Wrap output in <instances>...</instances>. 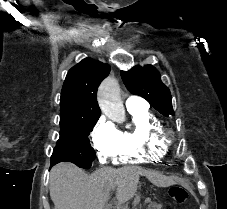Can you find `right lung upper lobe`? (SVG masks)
<instances>
[{
	"mask_svg": "<svg viewBox=\"0 0 227 209\" xmlns=\"http://www.w3.org/2000/svg\"><path fill=\"white\" fill-rule=\"evenodd\" d=\"M109 72L108 64L91 58L71 68L62 87L60 117L100 116L97 89Z\"/></svg>",
	"mask_w": 227,
	"mask_h": 209,
	"instance_id": "right-lung-upper-lobe-1",
	"label": "right lung upper lobe"
}]
</instances>
